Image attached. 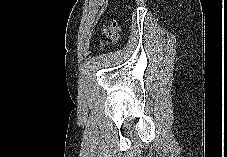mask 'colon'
Returning a JSON list of instances; mask_svg holds the SVG:
<instances>
[{
	"mask_svg": "<svg viewBox=\"0 0 227 157\" xmlns=\"http://www.w3.org/2000/svg\"><path fill=\"white\" fill-rule=\"evenodd\" d=\"M104 35L105 39L103 40L102 44L108 43V42H116L120 37V27L117 23L111 22L108 23L104 27Z\"/></svg>",
	"mask_w": 227,
	"mask_h": 157,
	"instance_id": "colon-1",
	"label": "colon"
}]
</instances>
